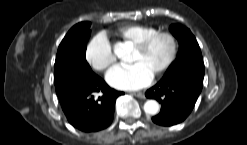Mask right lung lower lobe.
I'll return each instance as SVG.
<instances>
[{
  "label": "right lung lower lobe",
  "mask_w": 247,
  "mask_h": 145,
  "mask_svg": "<svg viewBox=\"0 0 247 145\" xmlns=\"http://www.w3.org/2000/svg\"><path fill=\"white\" fill-rule=\"evenodd\" d=\"M55 89L69 123L84 132L108 127L113 120L115 100L124 94L111 89L93 72L83 71L55 80ZM98 92L103 95L95 98Z\"/></svg>",
  "instance_id": "obj_1"
}]
</instances>
